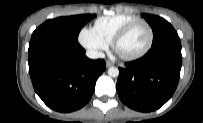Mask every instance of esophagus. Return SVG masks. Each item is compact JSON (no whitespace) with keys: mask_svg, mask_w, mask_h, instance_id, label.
I'll use <instances>...</instances> for the list:
<instances>
[{"mask_svg":"<svg viewBox=\"0 0 203 123\" xmlns=\"http://www.w3.org/2000/svg\"><path fill=\"white\" fill-rule=\"evenodd\" d=\"M106 66L107 67H111L112 66V63L110 61H106Z\"/></svg>","mask_w":203,"mask_h":123,"instance_id":"34e87169","label":"esophagus"}]
</instances>
